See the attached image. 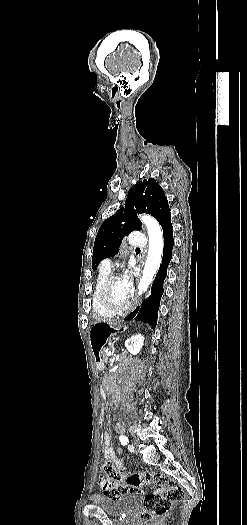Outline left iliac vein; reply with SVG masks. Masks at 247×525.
<instances>
[{
	"label": "left iliac vein",
	"mask_w": 247,
	"mask_h": 525,
	"mask_svg": "<svg viewBox=\"0 0 247 525\" xmlns=\"http://www.w3.org/2000/svg\"><path fill=\"white\" fill-rule=\"evenodd\" d=\"M134 449H135V448H134V445H132V444L128 445V450H129L130 452H134Z\"/></svg>",
	"instance_id": "left-iliac-vein-1"
}]
</instances>
